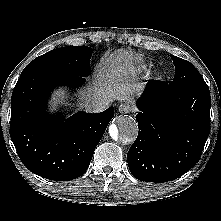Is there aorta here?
Returning <instances> with one entry per match:
<instances>
[{"label": "aorta", "instance_id": "obj_1", "mask_svg": "<svg viewBox=\"0 0 221 221\" xmlns=\"http://www.w3.org/2000/svg\"><path fill=\"white\" fill-rule=\"evenodd\" d=\"M109 134L114 141L128 144L138 135V125L135 119L128 115L119 116L109 126Z\"/></svg>", "mask_w": 221, "mask_h": 221}]
</instances>
